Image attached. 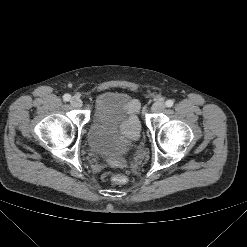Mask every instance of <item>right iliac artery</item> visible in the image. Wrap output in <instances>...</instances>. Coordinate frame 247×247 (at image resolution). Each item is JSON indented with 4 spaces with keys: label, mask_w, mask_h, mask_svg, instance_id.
Returning <instances> with one entry per match:
<instances>
[{
    "label": "right iliac artery",
    "mask_w": 247,
    "mask_h": 247,
    "mask_svg": "<svg viewBox=\"0 0 247 247\" xmlns=\"http://www.w3.org/2000/svg\"><path fill=\"white\" fill-rule=\"evenodd\" d=\"M71 99V95H69V94H65L64 96H63V100L64 101H69Z\"/></svg>",
    "instance_id": "82829eb1"
}]
</instances>
